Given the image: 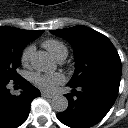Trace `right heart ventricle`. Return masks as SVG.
Listing matches in <instances>:
<instances>
[{"instance_id":"e07e8e85","label":"right heart ventricle","mask_w":128,"mask_h":128,"mask_svg":"<svg viewBox=\"0 0 128 128\" xmlns=\"http://www.w3.org/2000/svg\"><path fill=\"white\" fill-rule=\"evenodd\" d=\"M42 45L58 61L64 60L68 54L67 47L57 39H47Z\"/></svg>"}]
</instances>
